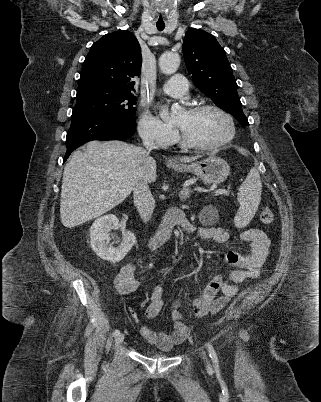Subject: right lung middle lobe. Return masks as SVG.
<instances>
[{
    "label": "right lung middle lobe",
    "mask_w": 321,
    "mask_h": 402,
    "mask_svg": "<svg viewBox=\"0 0 321 402\" xmlns=\"http://www.w3.org/2000/svg\"><path fill=\"white\" fill-rule=\"evenodd\" d=\"M135 96L132 92L104 86H79L72 118L82 116L135 119Z\"/></svg>",
    "instance_id": "right-lung-middle-lobe-1"
}]
</instances>
